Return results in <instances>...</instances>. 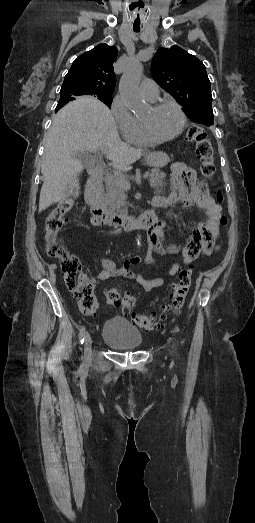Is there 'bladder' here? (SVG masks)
<instances>
[{
    "instance_id": "bladder-1",
    "label": "bladder",
    "mask_w": 255,
    "mask_h": 523,
    "mask_svg": "<svg viewBox=\"0 0 255 523\" xmlns=\"http://www.w3.org/2000/svg\"><path fill=\"white\" fill-rule=\"evenodd\" d=\"M103 328L102 340L113 347L135 350L143 343L141 333L126 319H107Z\"/></svg>"
}]
</instances>
